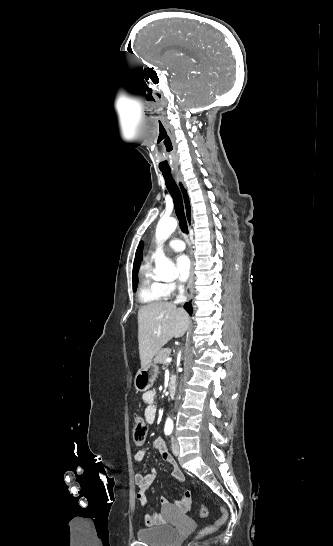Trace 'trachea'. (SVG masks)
I'll use <instances>...</instances> for the list:
<instances>
[{"instance_id": "1", "label": "trachea", "mask_w": 333, "mask_h": 546, "mask_svg": "<svg viewBox=\"0 0 333 546\" xmlns=\"http://www.w3.org/2000/svg\"><path fill=\"white\" fill-rule=\"evenodd\" d=\"M162 174L165 180L166 187L173 198L175 213L179 221L180 229L183 233L188 234V225H187V221H186V217L184 213V206H183V199H182L181 192L171 173L162 172Z\"/></svg>"}]
</instances>
